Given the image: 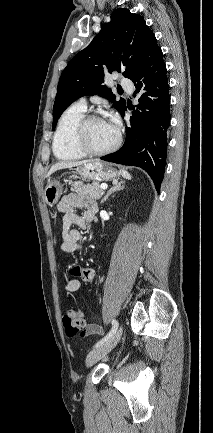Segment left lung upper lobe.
Masks as SVG:
<instances>
[{
    "label": "left lung upper lobe",
    "mask_w": 213,
    "mask_h": 433,
    "mask_svg": "<svg viewBox=\"0 0 213 433\" xmlns=\"http://www.w3.org/2000/svg\"><path fill=\"white\" fill-rule=\"evenodd\" d=\"M159 46L142 16L128 9H116L92 42L76 54L63 70L53 106V129L64 110L82 96L106 97L121 113L124 99L115 100L111 89L102 85L105 73L123 71L131 79ZM124 51L123 56L119 53Z\"/></svg>",
    "instance_id": "5c2ea615"
}]
</instances>
